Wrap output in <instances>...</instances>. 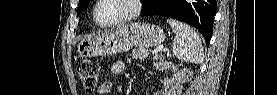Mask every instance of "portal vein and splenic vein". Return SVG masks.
Instances as JSON below:
<instances>
[{
    "mask_svg": "<svg viewBox=\"0 0 277 95\" xmlns=\"http://www.w3.org/2000/svg\"><path fill=\"white\" fill-rule=\"evenodd\" d=\"M163 49V46H159L157 49H155L152 54H157L159 51Z\"/></svg>",
    "mask_w": 277,
    "mask_h": 95,
    "instance_id": "1",
    "label": "portal vein and splenic vein"
}]
</instances>
